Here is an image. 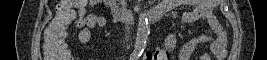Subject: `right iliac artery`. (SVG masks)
Returning <instances> with one entry per match:
<instances>
[{"label":"right iliac artery","mask_w":267,"mask_h":60,"mask_svg":"<svg viewBox=\"0 0 267 60\" xmlns=\"http://www.w3.org/2000/svg\"><path fill=\"white\" fill-rule=\"evenodd\" d=\"M140 55H137L136 53L132 54L130 56V60H137Z\"/></svg>","instance_id":"82829eb1"}]
</instances>
